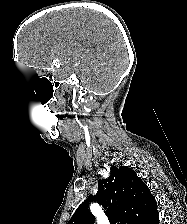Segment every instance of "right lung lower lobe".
Segmentation results:
<instances>
[{"label": "right lung lower lobe", "instance_id": "98d812e1", "mask_svg": "<svg viewBox=\"0 0 187 224\" xmlns=\"http://www.w3.org/2000/svg\"><path fill=\"white\" fill-rule=\"evenodd\" d=\"M135 224H158V213L154 210L151 214L141 218Z\"/></svg>", "mask_w": 187, "mask_h": 224}]
</instances>
